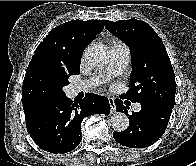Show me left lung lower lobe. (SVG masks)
Listing matches in <instances>:
<instances>
[{"label": "left lung lower lobe", "instance_id": "obj_1", "mask_svg": "<svg viewBox=\"0 0 196 166\" xmlns=\"http://www.w3.org/2000/svg\"><path fill=\"white\" fill-rule=\"evenodd\" d=\"M140 104L141 110L131 115H128V107L121 100L116 104L118 112L128 115L129 127L122 132H113V137L116 142L129 148H144L156 142L165 132L173 109L155 101Z\"/></svg>", "mask_w": 196, "mask_h": 166}]
</instances>
